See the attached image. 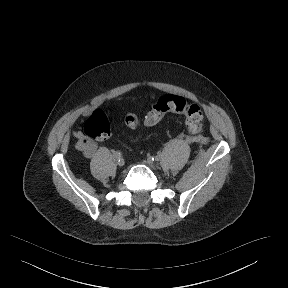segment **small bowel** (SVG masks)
<instances>
[{"label": "small bowel", "instance_id": "1", "mask_svg": "<svg viewBox=\"0 0 288 288\" xmlns=\"http://www.w3.org/2000/svg\"><path fill=\"white\" fill-rule=\"evenodd\" d=\"M84 155L87 157V158H90L93 156L94 152H95V144L93 143H90L88 145V147L85 149V150H82Z\"/></svg>", "mask_w": 288, "mask_h": 288}]
</instances>
